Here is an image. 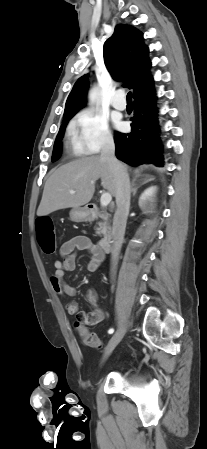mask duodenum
<instances>
[{
    "mask_svg": "<svg viewBox=\"0 0 207 449\" xmlns=\"http://www.w3.org/2000/svg\"><path fill=\"white\" fill-rule=\"evenodd\" d=\"M97 210L95 208L89 209L90 214L95 213ZM99 246L103 252H109L112 249V235L107 234L99 241Z\"/></svg>",
    "mask_w": 207,
    "mask_h": 449,
    "instance_id": "1",
    "label": "duodenum"
}]
</instances>
